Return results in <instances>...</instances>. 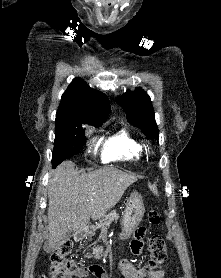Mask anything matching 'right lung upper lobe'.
Here are the masks:
<instances>
[{"mask_svg": "<svg viewBox=\"0 0 221 278\" xmlns=\"http://www.w3.org/2000/svg\"><path fill=\"white\" fill-rule=\"evenodd\" d=\"M110 111L108 98L84 82L75 78L63 93L56 119L84 121L102 124Z\"/></svg>", "mask_w": 221, "mask_h": 278, "instance_id": "obj_1", "label": "right lung upper lobe"}]
</instances>
